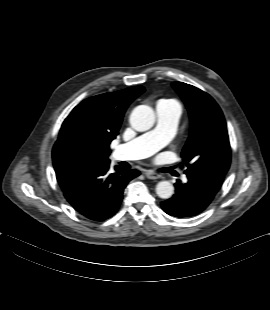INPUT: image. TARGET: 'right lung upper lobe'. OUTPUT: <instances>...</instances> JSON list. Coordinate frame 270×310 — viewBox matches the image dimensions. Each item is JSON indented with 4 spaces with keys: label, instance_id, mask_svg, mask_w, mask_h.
<instances>
[{
    "label": "right lung upper lobe",
    "instance_id": "cb5924a9",
    "mask_svg": "<svg viewBox=\"0 0 270 310\" xmlns=\"http://www.w3.org/2000/svg\"><path fill=\"white\" fill-rule=\"evenodd\" d=\"M142 86L90 97L64 120L52 158L55 171L109 163V145L118 135L128 105Z\"/></svg>",
    "mask_w": 270,
    "mask_h": 310
}]
</instances>
